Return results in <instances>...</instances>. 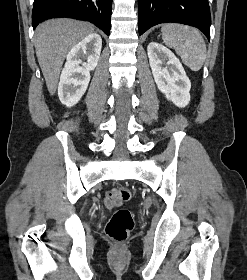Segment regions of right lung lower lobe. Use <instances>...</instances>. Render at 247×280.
Returning a JSON list of instances; mask_svg holds the SVG:
<instances>
[{"label": "right lung lower lobe", "instance_id": "98d812e1", "mask_svg": "<svg viewBox=\"0 0 247 280\" xmlns=\"http://www.w3.org/2000/svg\"><path fill=\"white\" fill-rule=\"evenodd\" d=\"M111 12L112 0H34L32 26L49 18L68 17L90 21L109 35Z\"/></svg>", "mask_w": 247, "mask_h": 280}]
</instances>
